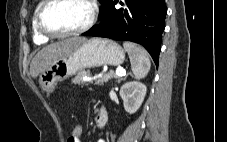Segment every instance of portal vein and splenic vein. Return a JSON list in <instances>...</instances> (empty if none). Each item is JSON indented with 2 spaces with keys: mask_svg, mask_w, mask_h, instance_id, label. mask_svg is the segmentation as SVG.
Returning <instances> with one entry per match:
<instances>
[{
  "mask_svg": "<svg viewBox=\"0 0 227 142\" xmlns=\"http://www.w3.org/2000/svg\"><path fill=\"white\" fill-rule=\"evenodd\" d=\"M110 74H114L116 76H123V71H121V70H116L115 72L111 71ZM83 80L84 81H90L92 79L91 78H83Z\"/></svg>",
  "mask_w": 227,
  "mask_h": 142,
  "instance_id": "1",
  "label": "portal vein and splenic vein"
}]
</instances>
